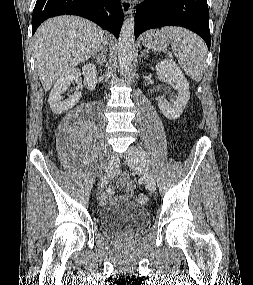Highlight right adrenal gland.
I'll return each instance as SVG.
<instances>
[{"instance_id":"obj_1","label":"right adrenal gland","mask_w":253,"mask_h":285,"mask_svg":"<svg viewBox=\"0 0 253 285\" xmlns=\"http://www.w3.org/2000/svg\"><path fill=\"white\" fill-rule=\"evenodd\" d=\"M101 52L100 54H96V53H93L92 54V57H93V59H95L96 60V63L98 64V65H101L103 62H105L106 61V56L103 54V51H102V48L100 47V49L98 50V52Z\"/></svg>"}]
</instances>
